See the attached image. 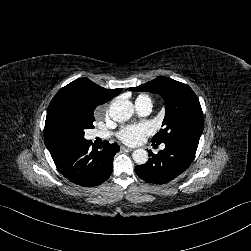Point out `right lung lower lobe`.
Returning <instances> with one entry per match:
<instances>
[{
	"instance_id": "obj_1",
	"label": "right lung lower lobe",
	"mask_w": 251,
	"mask_h": 251,
	"mask_svg": "<svg viewBox=\"0 0 251 251\" xmlns=\"http://www.w3.org/2000/svg\"><path fill=\"white\" fill-rule=\"evenodd\" d=\"M48 147L58 171L71 182L85 186H97L112 173L114 155L118 144L105 141L101 150L91 147L90 140L58 139Z\"/></svg>"
}]
</instances>
